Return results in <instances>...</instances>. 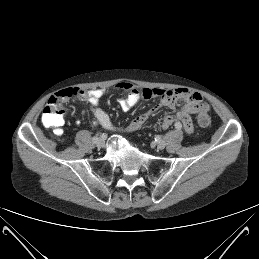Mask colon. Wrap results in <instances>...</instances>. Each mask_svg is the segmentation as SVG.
I'll return each mask as SVG.
<instances>
[{
    "mask_svg": "<svg viewBox=\"0 0 259 259\" xmlns=\"http://www.w3.org/2000/svg\"><path fill=\"white\" fill-rule=\"evenodd\" d=\"M64 113L65 110L61 106V101L55 98H50L48 104L42 111V123L46 127L53 128L56 134H60ZM198 124L204 128L211 124V117L207 108H203L200 111L198 115Z\"/></svg>",
    "mask_w": 259,
    "mask_h": 259,
    "instance_id": "obj_1",
    "label": "colon"
}]
</instances>
